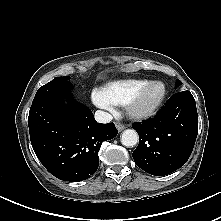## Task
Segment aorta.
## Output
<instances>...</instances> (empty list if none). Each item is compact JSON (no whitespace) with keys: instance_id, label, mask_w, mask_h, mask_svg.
<instances>
[{"instance_id":"1","label":"aorta","mask_w":221,"mask_h":221,"mask_svg":"<svg viewBox=\"0 0 221 221\" xmlns=\"http://www.w3.org/2000/svg\"><path fill=\"white\" fill-rule=\"evenodd\" d=\"M121 143L126 147H133L138 143V134L133 129H126L122 132Z\"/></svg>"}]
</instances>
